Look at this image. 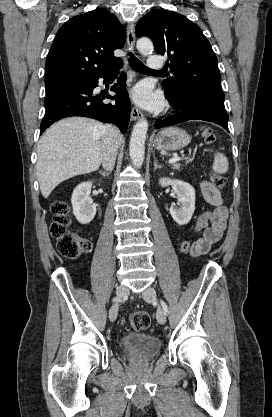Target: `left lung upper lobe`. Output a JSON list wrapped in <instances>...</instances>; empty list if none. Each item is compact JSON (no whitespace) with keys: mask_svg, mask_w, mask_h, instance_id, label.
Wrapping results in <instances>:
<instances>
[{"mask_svg":"<svg viewBox=\"0 0 272 417\" xmlns=\"http://www.w3.org/2000/svg\"><path fill=\"white\" fill-rule=\"evenodd\" d=\"M136 35L150 37L155 51L169 57L166 64L174 76L162 82L168 96L191 93L224 106L218 61L197 24L176 12L157 9L139 20Z\"/></svg>","mask_w":272,"mask_h":417,"instance_id":"left-lung-upper-lobe-1","label":"left lung upper lobe"}]
</instances>
